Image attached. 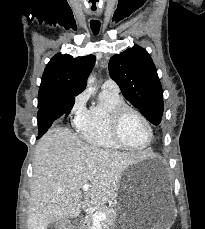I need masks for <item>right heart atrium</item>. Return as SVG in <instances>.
<instances>
[{"instance_id":"obj_1","label":"right heart atrium","mask_w":205,"mask_h":229,"mask_svg":"<svg viewBox=\"0 0 205 229\" xmlns=\"http://www.w3.org/2000/svg\"><path fill=\"white\" fill-rule=\"evenodd\" d=\"M87 93L81 92L78 94L72 103L70 109V116L73 118L74 123L77 125L86 115L87 108Z\"/></svg>"}]
</instances>
